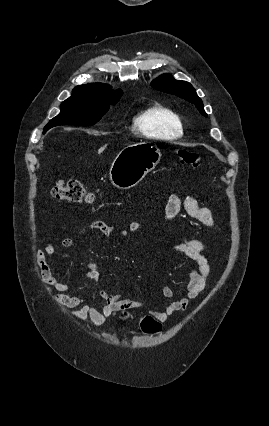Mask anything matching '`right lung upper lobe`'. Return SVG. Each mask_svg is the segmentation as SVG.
Wrapping results in <instances>:
<instances>
[{"mask_svg":"<svg viewBox=\"0 0 269 426\" xmlns=\"http://www.w3.org/2000/svg\"><path fill=\"white\" fill-rule=\"evenodd\" d=\"M72 95L101 98H120L122 91H112L106 84L91 83L77 86L73 90Z\"/></svg>","mask_w":269,"mask_h":426,"instance_id":"cb5924a9","label":"right lung upper lobe"}]
</instances>
